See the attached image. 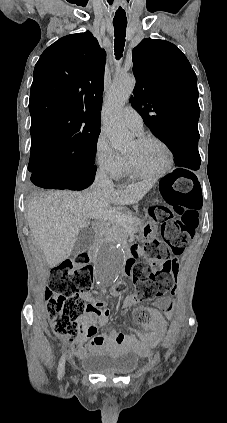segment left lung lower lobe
Returning <instances> with one entry per match:
<instances>
[{"instance_id":"0a47b994","label":"left lung lower lobe","mask_w":227,"mask_h":423,"mask_svg":"<svg viewBox=\"0 0 227 423\" xmlns=\"http://www.w3.org/2000/svg\"><path fill=\"white\" fill-rule=\"evenodd\" d=\"M199 133H188L177 137H170L164 142L174 155V162L177 166L191 170H198L200 167V155L198 152ZM173 175H182L191 179L195 175L185 169H176Z\"/></svg>"}]
</instances>
